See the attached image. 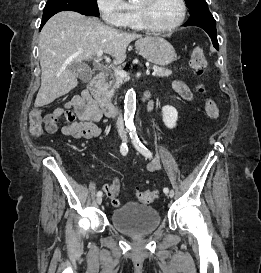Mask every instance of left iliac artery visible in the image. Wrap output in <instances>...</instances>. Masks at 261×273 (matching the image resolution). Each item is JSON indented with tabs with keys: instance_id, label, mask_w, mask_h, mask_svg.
Returning <instances> with one entry per match:
<instances>
[{
	"instance_id": "44dca946",
	"label": "left iliac artery",
	"mask_w": 261,
	"mask_h": 273,
	"mask_svg": "<svg viewBox=\"0 0 261 273\" xmlns=\"http://www.w3.org/2000/svg\"><path fill=\"white\" fill-rule=\"evenodd\" d=\"M130 137L132 139V142L135 146V148L142 154L144 155L145 157L147 158H152V153L140 142L139 138H138V135H137V132H136V129L133 128L131 129V132H130ZM163 192L164 193H168L169 192V189L168 188H164L163 189Z\"/></svg>"
}]
</instances>
